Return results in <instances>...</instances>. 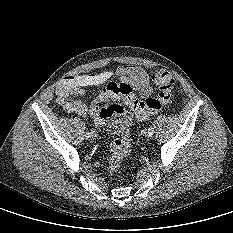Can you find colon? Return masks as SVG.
I'll use <instances>...</instances> for the list:
<instances>
[{"label": "colon", "instance_id": "1", "mask_svg": "<svg viewBox=\"0 0 233 233\" xmlns=\"http://www.w3.org/2000/svg\"><path fill=\"white\" fill-rule=\"evenodd\" d=\"M152 79L158 87L157 95L139 100L127 85H121L119 91L128 111L119 104H111L101 109L95 107L92 112L95 121L102 124L116 112L125 113L130 118L136 116L139 119H145L149 115L159 112L170 101L175 81L170 73L164 69L155 71ZM130 151V131L127 130L111 146V155L108 160L109 171L112 173L118 172L124 158L129 155Z\"/></svg>", "mask_w": 233, "mask_h": 233}]
</instances>
